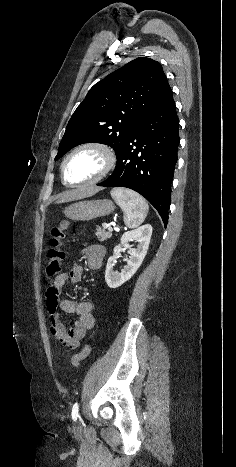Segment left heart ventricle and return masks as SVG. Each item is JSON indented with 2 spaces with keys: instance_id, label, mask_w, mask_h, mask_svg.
<instances>
[{
  "instance_id": "b2bd125f",
  "label": "left heart ventricle",
  "mask_w": 236,
  "mask_h": 467,
  "mask_svg": "<svg viewBox=\"0 0 236 467\" xmlns=\"http://www.w3.org/2000/svg\"><path fill=\"white\" fill-rule=\"evenodd\" d=\"M104 167V158L96 150L86 149L76 153L66 166V178L71 183H81L95 178Z\"/></svg>"
}]
</instances>
